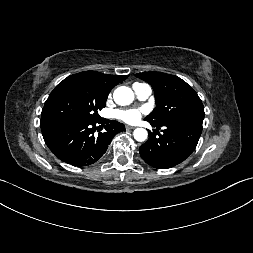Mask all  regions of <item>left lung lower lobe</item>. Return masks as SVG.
Returning a JSON list of instances; mask_svg holds the SVG:
<instances>
[{"mask_svg":"<svg viewBox=\"0 0 253 253\" xmlns=\"http://www.w3.org/2000/svg\"><path fill=\"white\" fill-rule=\"evenodd\" d=\"M203 118L155 125L163 134L156 137L149 131V139L140 149V155L150 166L157 169L171 168L184 161L195 150L202 132Z\"/></svg>","mask_w":253,"mask_h":253,"instance_id":"obj_1","label":"left lung lower lobe"}]
</instances>
